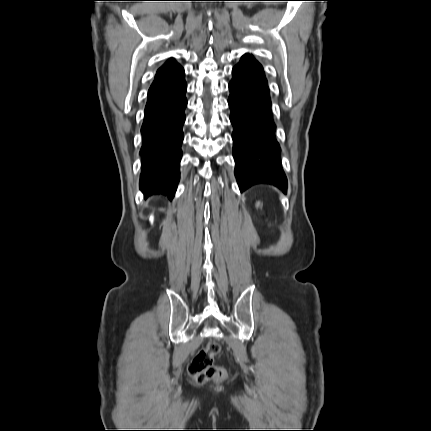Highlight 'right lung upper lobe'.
<instances>
[{"label": "right lung upper lobe", "instance_id": "cb5924a9", "mask_svg": "<svg viewBox=\"0 0 431 431\" xmlns=\"http://www.w3.org/2000/svg\"><path fill=\"white\" fill-rule=\"evenodd\" d=\"M184 76L182 67L174 60L169 59L156 73L155 80L152 83L148 95L155 94L176 80Z\"/></svg>", "mask_w": 431, "mask_h": 431}]
</instances>
